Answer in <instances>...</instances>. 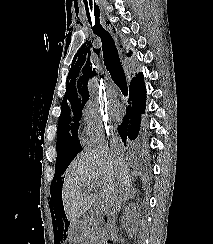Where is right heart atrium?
Returning <instances> with one entry per match:
<instances>
[{
	"mask_svg": "<svg viewBox=\"0 0 213 244\" xmlns=\"http://www.w3.org/2000/svg\"><path fill=\"white\" fill-rule=\"evenodd\" d=\"M112 127L104 108L94 101H88L81 113V139L86 144H95L105 140L111 134Z\"/></svg>",
	"mask_w": 213,
	"mask_h": 244,
	"instance_id": "obj_1",
	"label": "right heart atrium"
}]
</instances>
